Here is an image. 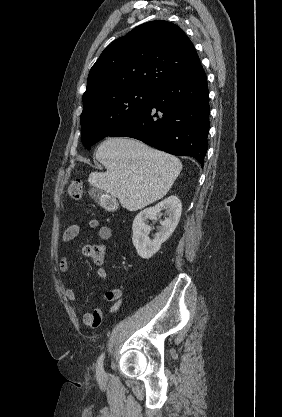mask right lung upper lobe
I'll use <instances>...</instances> for the list:
<instances>
[{"mask_svg": "<svg viewBox=\"0 0 282 417\" xmlns=\"http://www.w3.org/2000/svg\"><path fill=\"white\" fill-rule=\"evenodd\" d=\"M200 65L193 43L181 28L163 20L147 22L102 52L89 72L83 100L133 87L156 90Z\"/></svg>", "mask_w": 282, "mask_h": 417, "instance_id": "1", "label": "right lung upper lobe"}]
</instances>
